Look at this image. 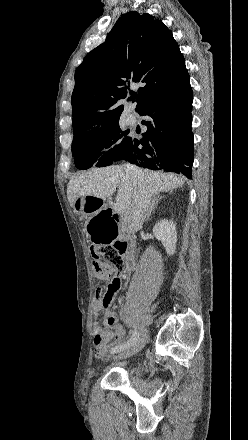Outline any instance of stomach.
Masks as SVG:
<instances>
[{
  "instance_id": "obj_1",
  "label": "stomach",
  "mask_w": 248,
  "mask_h": 440,
  "mask_svg": "<svg viewBox=\"0 0 248 440\" xmlns=\"http://www.w3.org/2000/svg\"><path fill=\"white\" fill-rule=\"evenodd\" d=\"M92 196L78 197L74 203L77 218H87L86 232L90 237V246H109L117 241L119 225L113 215V209H101L102 200Z\"/></svg>"
}]
</instances>
